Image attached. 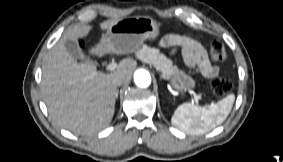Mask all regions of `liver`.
Returning a JSON list of instances; mask_svg holds the SVG:
<instances>
[{
    "mask_svg": "<svg viewBox=\"0 0 283 162\" xmlns=\"http://www.w3.org/2000/svg\"><path fill=\"white\" fill-rule=\"evenodd\" d=\"M119 19L100 24L102 30ZM91 26L69 28L44 58L41 91L51 119L60 127L78 135H88L108 127L114 112L117 89L115 77L131 79L136 63L123 60L108 74L97 71L92 63L78 62L65 48L67 39L89 34ZM116 52L113 43L97 44L89 50L92 55Z\"/></svg>",
    "mask_w": 283,
    "mask_h": 162,
    "instance_id": "liver-1",
    "label": "liver"
}]
</instances>
